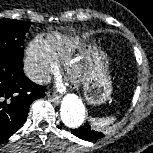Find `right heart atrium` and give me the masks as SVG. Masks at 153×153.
<instances>
[{
    "mask_svg": "<svg viewBox=\"0 0 153 153\" xmlns=\"http://www.w3.org/2000/svg\"><path fill=\"white\" fill-rule=\"evenodd\" d=\"M24 69L27 75L36 83H44L57 69V61L52 56L46 42L34 38L25 50Z\"/></svg>",
    "mask_w": 153,
    "mask_h": 153,
    "instance_id": "1",
    "label": "right heart atrium"
}]
</instances>
